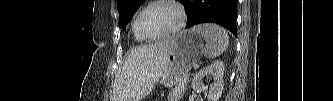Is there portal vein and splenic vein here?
I'll list each match as a JSON object with an SVG mask.
<instances>
[{"label":"portal vein and splenic vein","mask_w":333,"mask_h":101,"mask_svg":"<svg viewBox=\"0 0 333 101\" xmlns=\"http://www.w3.org/2000/svg\"><path fill=\"white\" fill-rule=\"evenodd\" d=\"M194 68H198V65H194Z\"/></svg>","instance_id":"obj_1"}]
</instances>
